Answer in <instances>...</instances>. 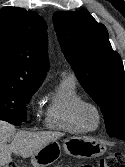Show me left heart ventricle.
<instances>
[{
    "label": "left heart ventricle",
    "instance_id": "1",
    "mask_svg": "<svg viewBox=\"0 0 125 167\" xmlns=\"http://www.w3.org/2000/svg\"><path fill=\"white\" fill-rule=\"evenodd\" d=\"M85 122L88 126H95L96 125V115L92 110H87L85 113Z\"/></svg>",
    "mask_w": 125,
    "mask_h": 167
}]
</instances>
